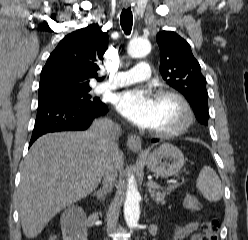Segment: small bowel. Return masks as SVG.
I'll return each mask as SVG.
<instances>
[{
  "mask_svg": "<svg viewBox=\"0 0 248 240\" xmlns=\"http://www.w3.org/2000/svg\"><path fill=\"white\" fill-rule=\"evenodd\" d=\"M199 223L197 221H192L184 225H179L176 227L172 240L183 239L189 235H192L191 240H202V236L197 233Z\"/></svg>",
  "mask_w": 248,
  "mask_h": 240,
  "instance_id": "small-bowel-1",
  "label": "small bowel"
}]
</instances>
